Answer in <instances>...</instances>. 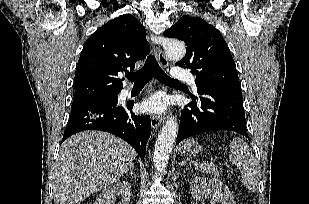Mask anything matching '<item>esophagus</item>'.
<instances>
[{
  "mask_svg": "<svg viewBox=\"0 0 309 204\" xmlns=\"http://www.w3.org/2000/svg\"><path fill=\"white\" fill-rule=\"evenodd\" d=\"M161 37H153L152 41L154 43V52L157 57L158 62L160 65L164 68H167L169 66V61L167 57L165 56L164 52L161 49ZM162 117L152 115L151 117V126L153 129H157L161 123H162Z\"/></svg>",
  "mask_w": 309,
  "mask_h": 204,
  "instance_id": "1",
  "label": "esophagus"
}]
</instances>
